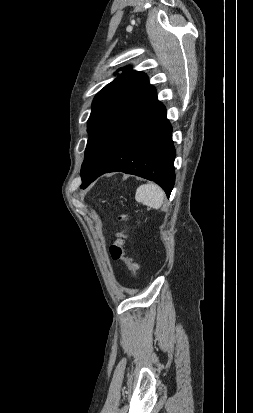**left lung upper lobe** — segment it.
<instances>
[{
  "label": "left lung upper lobe",
  "mask_w": 253,
  "mask_h": 413,
  "mask_svg": "<svg viewBox=\"0 0 253 413\" xmlns=\"http://www.w3.org/2000/svg\"><path fill=\"white\" fill-rule=\"evenodd\" d=\"M124 73L94 98L88 120L89 139L82 164V182L94 175L130 132L158 105L148 77L121 68Z\"/></svg>",
  "instance_id": "left-lung-upper-lobe-1"
}]
</instances>
